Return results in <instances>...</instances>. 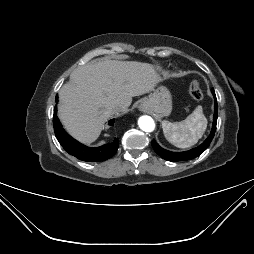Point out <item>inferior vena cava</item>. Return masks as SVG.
<instances>
[{"mask_svg":"<svg viewBox=\"0 0 254 254\" xmlns=\"http://www.w3.org/2000/svg\"><path fill=\"white\" fill-rule=\"evenodd\" d=\"M125 109H126V108H125L124 105H116V106L113 107V110H114L115 112L124 111Z\"/></svg>","mask_w":254,"mask_h":254,"instance_id":"602c4592","label":"inferior vena cava"}]
</instances>
